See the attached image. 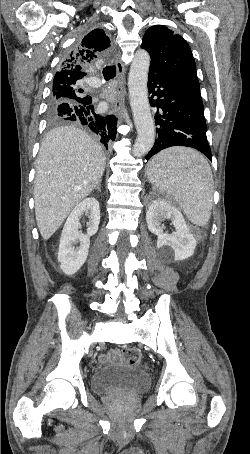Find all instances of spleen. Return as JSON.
<instances>
[{"mask_svg":"<svg viewBox=\"0 0 250 454\" xmlns=\"http://www.w3.org/2000/svg\"><path fill=\"white\" fill-rule=\"evenodd\" d=\"M149 181L172 196L189 221L205 226L213 205L214 182L209 163L199 152L172 147L155 155L147 166Z\"/></svg>","mask_w":250,"mask_h":454,"instance_id":"3e777b00","label":"spleen"}]
</instances>
